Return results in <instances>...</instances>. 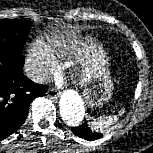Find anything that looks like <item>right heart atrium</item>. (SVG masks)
I'll list each match as a JSON object with an SVG mask.
<instances>
[{
  "label": "right heart atrium",
  "instance_id": "d8ad5b80",
  "mask_svg": "<svg viewBox=\"0 0 153 153\" xmlns=\"http://www.w3.org/2000/svg\"><path fill=\"white\" fill-rule=\"evenodd\" d=\"M25 67L33 80L43 82L55 71L57 64L45 43L36 39L28 48Z\"/></svg>",
  "mask_w": 153,
  "mask_h": 153
}]
</instances>
